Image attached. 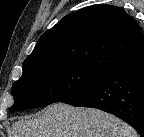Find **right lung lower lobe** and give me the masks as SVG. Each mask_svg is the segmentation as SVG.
<instances>
[{
	"label": "right lung lower lobe",
	"mask_w": 144,
	"mask_h": 137,
	"mask_svg": "<svg viewBox=\"0 0 144 137\" xmlns=\"http://www.w3.org/2000/svg\"><path fill=\"white\" fill-rule=\"evenodd\" d=\"M61 102L111 113L144 137V54L106 73Z\"/></svg>",
	"instance_id": "98d812e1"
}]
</instances>
